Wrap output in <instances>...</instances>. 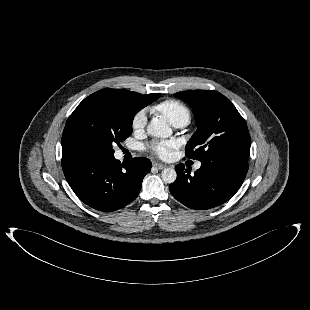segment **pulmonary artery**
Segmentation results:
<instances>
[{"instance_id": "pulmonary-artery-1", "label": "pulmonary artery", "mask_w": 310, "mask_h": 310, "mask_svg": "<svg viewBox=\"0 0 310 310\" xmlns=\"http://www.w3.org/2000/svg\"><path fill=\"white\" fill-rule=\"evenodd\" d=\"M183 126H185V125H175V127H183ZM201 167V163L200 162H197L196 164H195V169H199Z\"/></svg>"}]
</instances>
